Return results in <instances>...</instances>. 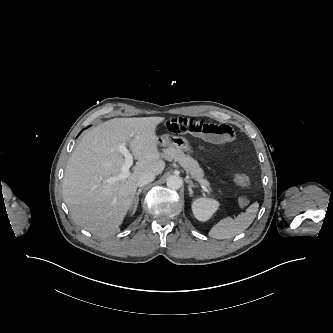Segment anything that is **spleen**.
I'll use <instances>...</instances> for the list:
<instances>
[{
	"label": "spleen",
	"mask_w": 333,
	"mask_h": 333,
	"mask_svg": "<svg viewBox=\"0 0 333 333\" xmlns=\"http://www.w3.org/2000/svg\"><path fill=\"white\" fill-rule=\"evenodd\" d=\"M259 204L257 202L250 205L246 212L237 216L235 219L226 217L212 226L209 236L216 239L231 238L245 229L254 221L258 212Z\"/></svg>",
	"instance_id": "spleen-1"
}]
</instances>
